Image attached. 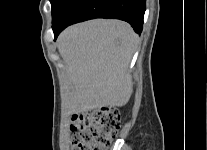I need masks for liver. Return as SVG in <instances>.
I'll use <instances>...</instances> for the list:
<instances>
[{"label": "liver", "instance_id": "1", "mask_svg": "<svg viewBox=\"0 0 207 150\" xmlns=\"http://www.w3.org/2000/svg\"><path fill=\"white\" fill-rule=\"evenodd\" d=\"M138 36L119 20L95 19L65 29L58 49L66 65L69 113L125 105L133 92L128 67Z\"/></svg>", "mask_w": 207, "mask_h": 150}]
</instances>
